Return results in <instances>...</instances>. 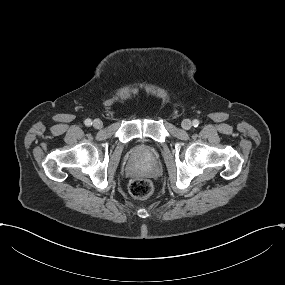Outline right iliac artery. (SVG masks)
Returning <instances> with one entry per match:
<instances>
[{"label": "right iliac artery", "instance_id": "1", "mask_svg": "<svg viewBox=\"0 0 285 285\" xmlns=\"http://www.w3.org/2000/svg\"><path fill=\"white\" fill-rule=\"evenodd\" d=\"M85 125L90 126L92 125V121L90 119L85 120Z\"/></svg>", "mask_w": 285, "mask_h": 285}]
</instances>
